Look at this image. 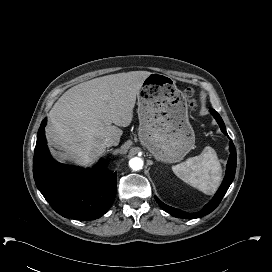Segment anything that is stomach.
I'll list each match as a JSON object with an SVG mask.
<instances>
[{"instance_id": "stomach-1", "label": "stomach", "mask_w": 272, "mask_h": 272, "mask_svg": "<svg viewBox=\"0 0 272 272\" xmlns=\"http://www.w3.org/2000/svg\"><path fill=\"white\" fill-rule=\"evenodd\" d=\"M142 145L158 161L176 163L194 147L195 133L189 122L187 103L175 80L161 73L145 78L137 94Z\"/></svg>"}]
</instances>
